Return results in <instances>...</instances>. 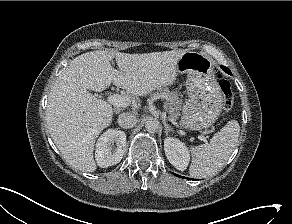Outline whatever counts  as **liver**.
I'll return each instance as SVG.
<instances>
[{
	"label": "liver",
	"instance_id": "6515ba94",
	"mask_svg": "<svg viewBox=\"0 0 292 224\" xmlns=\"http://www.w3.org/2000/svg\"><path fill=\"white\" fill-rule=\"evenodd\" d=\"M184 51L144 54L91 51L79 55L63 70L48 96L49 133L67 162L83 172H94L95 140L113 119L112 106L90 90L103 91L111 83L135 96L170 85ZM112 58L118 70L111 65ZM121 108H117L120 111Z\"/></svg>",
	"mask_w": 292,
	"mask_h": 224
}]
</instances>
